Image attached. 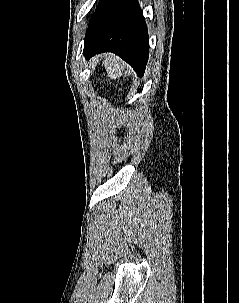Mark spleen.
Wrapping results in <instances>:
<instances>
[{
	"instance_id": "1",
	"label": "spleen",
	"mask_w": 239,
	"mask_h": 303,
	"mask_svg": "<svg viewBox=\"0 0 239 303\" xmlns=\"http://www.w3.org/2000/svg\"><path fill=\"white\" fill-rule=\"evenodd\" d=\"M103 64L112 79L121 77L126 67L125 63L114 55H106Z\"/></svg>"
}]
</instances>
